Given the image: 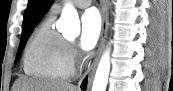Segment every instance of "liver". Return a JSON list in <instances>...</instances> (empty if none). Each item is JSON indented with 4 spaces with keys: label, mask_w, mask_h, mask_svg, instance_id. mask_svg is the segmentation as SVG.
<instances>
[{
    "label": "liver",
    "mask_w": 173,
    "mask_h": 91,
    "mask_svg": "<svg viewBox=\"0 0 173 91\" xmlns=\"http://www.w3.org/2000/svg\"><path fill=\"white\" fill-rule=\"evenodd\" d=\"M12 91H76V87L63 81L35 80L21 77L16 80Z\"/></svg>",
    "instance_id": "liver-1"
}]
</instances>
